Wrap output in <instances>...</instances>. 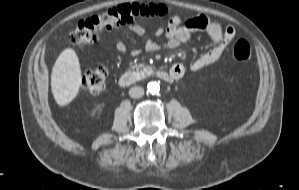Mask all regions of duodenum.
<instances>
[{"label":"duodenum","instance_id":"obj_1","mask_svg":"<svg viewBox=\"0 0 299 190\" xmlns=\"http://www.w3.org/2000/svg\"><path fill=\"white\" fill-rule=\"evenodd\" d=\"M158 76L162 78L168 77V74L164 71L158 72ZM138 79V75L135 72H129L123 76V82L125 84H132Z\"/></svg>","mask_w":299,"mask_h":190}]
</instances>
